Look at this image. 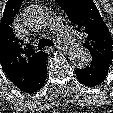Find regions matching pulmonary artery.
Returning <instances> with one entry per match:
<instances>
[{
  "label": "pulmonary artery",
  "mask_w": 113,
  "mask_h": 113,
  "mask_svg": "<svg viewBox=\"0 0 113 113\" xmlns=\"http://www.w3.org/2000/svg\"><path fill=\"white\" fill-rule=\"evenodd\" d=\"M51 26L53 28L56 29H61L62 31H65L64 26L61 24L60 19L56 16H54L53 18H51ZM75 40L74 35L73 34H69L67 33L65 35L64 41L65 42H73Z\"/></svg>",
  "instance_id": "pulmonary-artery-1"
}]
</instances>
